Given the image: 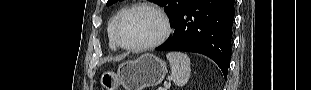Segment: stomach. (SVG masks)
<instances>
[{"instance_id":"stomach-1","label":"stomach","mask_w":311,"mask_h":90,"mask_svg":"<svg viewBox=\"0 0 311 90\" xmlns=\"http://www.w3.org/2000/svg\"><path fill=\"white\" fill-rule=\"evenodd\" d=\"M167 72V64L152 54H144L135 60L122 63L117 72L105 71L100 76L103 90H143L162 82Z\"/></svg>"}]
</instances>
